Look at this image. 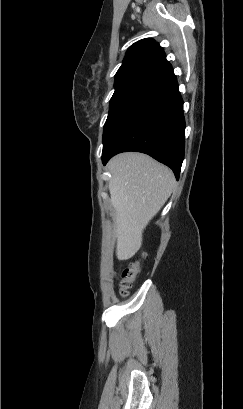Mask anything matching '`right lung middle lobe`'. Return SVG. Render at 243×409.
Returning <instances> with one entry per match:
<instances>
[{"instance_id": "obj_1", "label": "right lung middle lobe", "mask_w": 243, "mask_h": 409, "mask_svg": "<svg viewBox=\"0 0 243 409\" xmlns=\"http://www.w3.org/2000/svg\"><path fill=\"white\" fill-rule=\"evenodd\" d=\"M161 82L155 78L137 77L115 83L104 125L103 150L124 120Z\"/></svg>"}]
</instances>
